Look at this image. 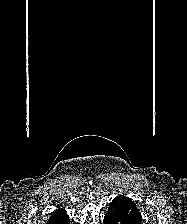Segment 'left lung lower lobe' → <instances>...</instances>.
Here are the masks:
<instances>
[{"mask_svg":"<svg viewBox=\"0 0 187 224\" xmlns=\"http://www.w3.org/2000/svg\"><path fill=\"white\" fill-rule=\"evenodd\" d=\"M142 217L136 204L128 197L117 196L110 203L104 224H141Z\"/></svg>","mask_w":187,"mask_h":224,"instance_id":"left-lung-lower-lobe-1","label":"left lung lower lobe"}]
</instances>
